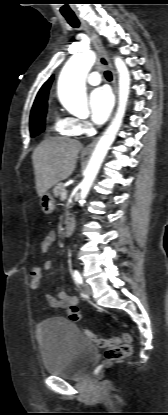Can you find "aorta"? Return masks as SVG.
I'll use <instances>...</instances> for the list:
<instances>
[{"mask_svg": "<svg viewBox=\"0 0 168 415\" xmlns=\"http://www.w3.org/2000/svg\"><path fill=\"white\" fill-rule=\"evenodd\" d=\"M95 60V53L86 51L72 56L63 67L58 80V97L67 111L79 113L87 109L85 80ZM114 63L119 75L117 112L92 153L81 183L80 201H83L88 195L103 159L122 125L126 111L130 92V74L120 57H115Z\"/></svg>", "mask_w": 168, "mask_h": 415, "instance_id": "762f6f07", "label": "aorta"}]
</instances>
